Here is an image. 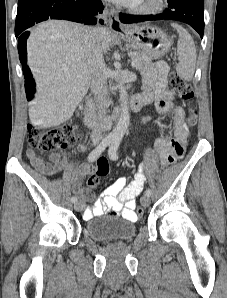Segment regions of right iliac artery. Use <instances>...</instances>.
<instances>
[{"label":"right iliac artery","mask_w":227,"mask_h":298,"mask_svg":"<svg viewBox=\"0 0 227 298\" xmlns=\"http://www.w3.org/2000/svg\"><path fill=\"white\" fill-rule=\"evenodd\" d=\"M115 138L112 136H107L105 137L102 142L93 150L90 152L88 156V161L89 162H94L100 155L101 153L106 149L107 146H109ZM72 202L77 201V197L73 196L71 198Z\"/></svg>","instance_id":"obj_1"}]
</instances>
